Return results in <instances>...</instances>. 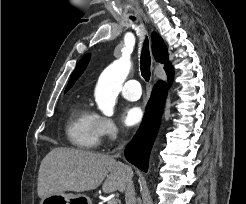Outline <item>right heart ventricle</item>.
<instances>
[{
  "label": "right heart ventricle",
  "mask_w": 246,
  "mask_h": 204,
  "mask_svg": "<svg viewBox=\"0 0 246 204\" xmlns=\"http://www.w3.org/2000/svg\"><path fill=\"white\" fill-rule=\"evenodd\" d=\"M66 135L69 142L78 149H96L101 140L100 116L84 102L74 104L67 119Z\"/></svg>",
  "instance_id": "1"
}]
</instances>
